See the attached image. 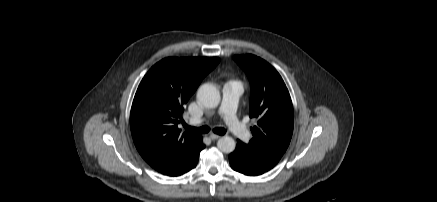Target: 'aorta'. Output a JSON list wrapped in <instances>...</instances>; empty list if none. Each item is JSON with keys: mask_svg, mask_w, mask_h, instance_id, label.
<instances>
[{"mask_svg": "<svg viewBox=\"0 0 437 202\" xmlns=\"http://www.w3.org/2000/svg\"><path fill=\"white\" fill-rule=\"evenodd\" d=\"M197 99L206 108H216L220 103L221 96L216 86L205 83L199 87ZM217 147L224 153H231L235 150L236 142L230 136H223L218 140Z\"/></svg>", "mask_w": 437, "mask_h": 202, "instance_id": "aorta-1", "label": "aorta"}]
</instances>
